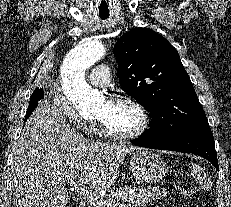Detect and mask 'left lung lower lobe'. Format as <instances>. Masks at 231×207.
I'll return each instance as SVG.
<instances>
[{"label":"left lung lower lobe","mask_w":231,"mask_h":207,"mask_svg":"<svg viewBox=\"0 0 231 207\" xmlns=\"http://www.w3.org/2000/svg\"><path fill=\"white\" fill-rule=\"evenodd\" d=\"M131 142L136 146L146 148L196 154L210 161L219 170L213 133L210 129L195 130L166 142L151 141L142 136Z\"/></svg>","instance_id":"obj_1"}]
</instances>
